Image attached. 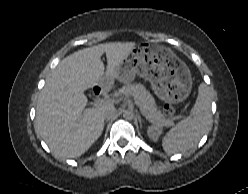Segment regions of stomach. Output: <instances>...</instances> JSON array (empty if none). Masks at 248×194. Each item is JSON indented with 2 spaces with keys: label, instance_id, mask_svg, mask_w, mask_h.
Instances as JSON below:
<instances>
[{
  "label": "stomach",
  "instance_id": "0dacf381",
  "mask_svg": "<svg viewBox=\"0 0 248 194\" xmlns=\"http://www.w3.org/2000/svg\"><path fill=\"white\" fill-rule=\"evenodd\" d=\"M122 65L119 81L129 83L138 75L148 80L155 94L164 101L179 103L190 94V70L169 48L139 45L130 51Z\"/></svg>",
  "mask_w": 248,
  "mask_h": 194
}]
</instances>
